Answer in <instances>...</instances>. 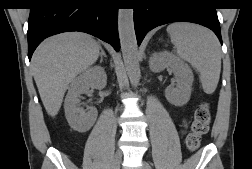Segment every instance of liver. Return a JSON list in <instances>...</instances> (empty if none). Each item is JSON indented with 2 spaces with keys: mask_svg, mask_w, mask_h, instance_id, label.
Masks as SVG:
<instances>
[{
  "mask_svg": "<svg viewBox=\"0 0 252 169\" xmlns=\"http://www.w3.org/2000/svg\"><path fill=\"white\" fill-rule=\"evenodd\" d=\"M101 46L84 34H64L46 41L37 51V84L43 102L51 115L61 105L69 81L94 63Z\"/></svg>",
  "mask_w": 252,
  "mask_h": 169,
  "instance_id": "6515ba94",
  "label": "liver"
}]
</instances>
